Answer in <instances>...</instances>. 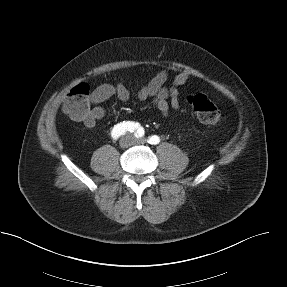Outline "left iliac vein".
<instances>
[{
  "mask_svg": "<svg viewBox=\"0 0 287 287\" xmlns=\"http://www.w3.org/2000/svg\"><path fill=\"white\" fill-rule=\"evenodd\" d=\"M145 142V139L133 138V144H142Z\"/></svg>",
  "mask_w": 287,
  "mask_h": 287,
  "instance_id": "1",
  "label": "left iliac vein"
}]
</instances>
